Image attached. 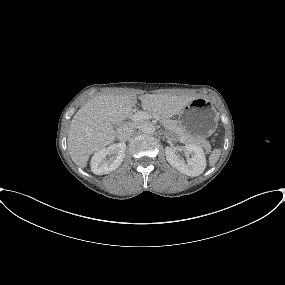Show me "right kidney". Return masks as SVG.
Masks as SVG:
<instances>
[{"label": "right kidney", "mask_w": 285, "mask_h": 285, "mask_svg": "<svg viewBox=\"0 0 285 285\" xmlns=\"http://www.w3.org/2000/svg\"><path fill=\"white\" fill-rule=\"evenodd\" d=\"M126 144L120 142L97 151L91 159V171L96 175L108 174L123 162Z\"/></svg>", "instance_id": "ca27d5eb"}]
</instances>
